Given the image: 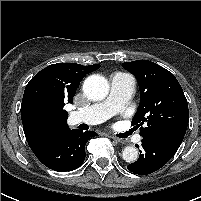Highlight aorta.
Wrapping results in <instances>:
<instances>
[{
  "mask_svg": "<svg viewBox=\"0 0 201 201\" xmlns=\"http://www.w3.org/2000/svg\"><path fill=\"white\" fill-rule=\"evenodd\" d=\"M109 91L107 80L100 75L87 77L83 84V92L86 97L93 101L103 100ZM122 158L126 162H135L138 159V150L133 146H127L122 151Z\"/></svg>",
  "mask_w": 201,
  "mask_h": 201,
  "instance_id": "1",
  "label": "aorta"
}]
</instances>
